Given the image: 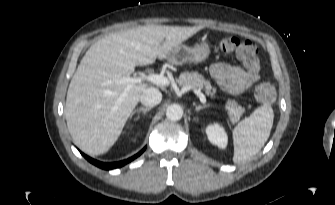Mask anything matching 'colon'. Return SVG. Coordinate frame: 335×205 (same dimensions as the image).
Segmentation results:
<instances>
[{
	"mask_svg": "<svg viewBox=\"0 0 335 205\" xmlns=\"http://www.w3.org/2000/svg\"><path fill=\"white\" fill-rule=\"evenodd\" d=\"M219 49L227 54L234 53L248 70L259 68L258 49L250 41L227 37L219 42ZM254 95L259 102L271 103L275 99V89L271 83L262 82L255 88Z\"/></svg>",
	"mask_w": 335,
	"mask_h": 205,
	"instance_id": "1",
	"label": "colon"
}]
</instances>
